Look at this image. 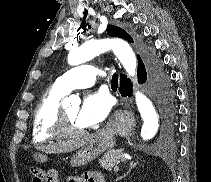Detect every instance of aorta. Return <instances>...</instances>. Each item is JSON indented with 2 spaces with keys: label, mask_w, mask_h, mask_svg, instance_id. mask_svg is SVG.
<instances>
[{
  "label": "aorta",
  "mask_w": 211,
  "mask_h": 182,
  "mask_svg": "<svg viewBox=\"0 0 211 182\" xmlns=\"http://www.w3.org/2000/svg\"><path fill=\"white\" fill-rule=\"evenodd\" d=\"M112 50L122 63L127 74L134 78L136 76L137 60L130 45L118 38L91 40L85 42L78 48H74L68 55L70 65H79L91 60L97 55ZM68 100V98L66 99ZM136 105L143 119L141 137L143 140L153 138L159 128V115L153 103L142 93L135 94ZM168 113V112H167Z\"/></svg>",
  "instance_id": "obj_1"
}]
</instances>
